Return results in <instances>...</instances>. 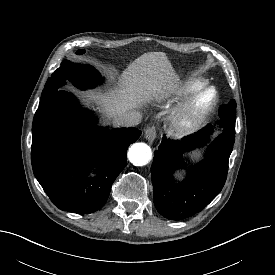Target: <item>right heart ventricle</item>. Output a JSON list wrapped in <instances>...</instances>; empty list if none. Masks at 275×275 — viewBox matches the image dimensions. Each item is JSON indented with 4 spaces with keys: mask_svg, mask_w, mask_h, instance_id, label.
<instances>
[{
    "mask_svg": "<svg viewBox=\"0 0 275 275\" xmlns=\"http://www.w3.org/2000/svg\"><path fill=\"white\" fill-rule=\"evenodd\" d=\"M206 81L203 78H190L180 82L172 87L169 91L165 92L159 98V102L163 104H172L184 99L191 92L205 86Z\"/></svg>",
    "mask_w": 275,
    "mask_h": 275,
    "instance_id": "e07e8e85",
    "label": "right heart ventricle"
}]
</instances>
